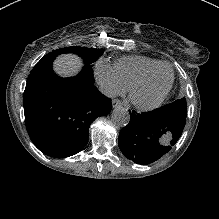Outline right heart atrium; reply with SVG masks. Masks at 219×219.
Returning <instances> with one entry per match:
<instances>
[{
  "instance_id": "1",
  "label": "right heart atrium",
  "mask_w": 219,
  "mask_h": 219,
  "mask_svg": "<svg viewBox=\"0 0 219 219\" xmlns=\"http://www.w3.org/2000/svg\"><path fill=\"white\" fill-rule=\"evenodd\" d=\"M95 78L101 89L109 96L122 94L124 84L115 76V73L106 61H98L94 69Z\"/></svg>"
}]
</instances>
